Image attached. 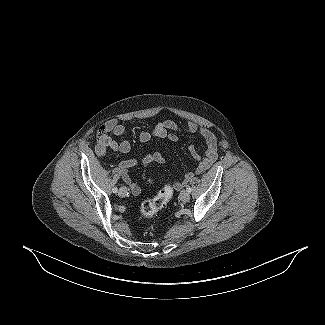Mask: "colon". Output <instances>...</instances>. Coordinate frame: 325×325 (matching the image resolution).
I'll list each match as a JSON object with an SVG mask.
<instances>
[{
    "instance_id": "5ec220e1",
    "label": "colon",
    "mask_w": 325,
    "mask_h": 325,
    "mask_svg": "<svg viewBox=\"0 0 325 325\" xmlns=\"http://www.w3.org/2000/svg\"><path fill=\"white\" fill-rule=\"evenodd\" d=\"M173 195V186L165 184L158 194L150 199L145 200L140 207V212L144 217H152L161 209L165 208Z\"/></svg>"
}]
</instances>
